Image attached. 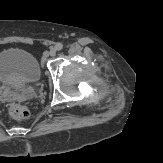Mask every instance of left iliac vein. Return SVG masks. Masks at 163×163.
<instances>
[{
    "label": "left iliac vein",
    "mask_w": 163,
    "mask_h": 163,
    "mask_svg": "<svg viewBox=\"0 0 163 163\" xmlns=\"http://www.w3.org/2000/svg\"><path fill=\"white\" fill-rule=\"evenodd\" d=\"M50 56H55L56 55V48H52L49 52Z\"/></svg>",
    "instance_id": "1"
}]
</instances>
